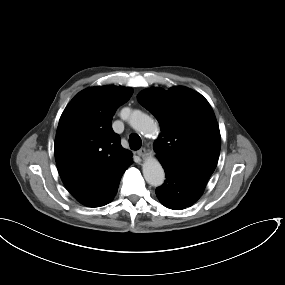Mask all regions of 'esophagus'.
<instances>
[{
  "instance_id": "34e87169",
  "label": "esophagus",
  "mask_w": 285,
  "mask_h": 285,
  "mask_svg": "<svg viewBox=\"0 0 285 285\" xmlns=\"http://www.w3.org/2000/svg\"><path fill=\"white\" fill-rule=\"evenodd\" d=\"M136 153H137L138 156L144 157L146 155V149L145 148H141Z\"/></svg>"
}]
</instances>
